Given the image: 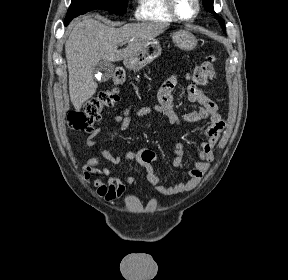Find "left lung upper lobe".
<instances>
[{
  "instance_id": "1",
  "label": "left lung upper lobe",
  "mask_w": 288,
  "mask_h": 280,
  "mask_svg": "<svg viewBox=\"0 0 288 280\" xmlns=\"http://www.w3.org/2000/svg\"><path fill=\"white\" fill-rule=\"evenodd\" d=\"M213 1L214 0H203V6L208 12L216 14L214 11V8H213ZM216 17H218V16L216 15ZM219 23H220L221 27L223 28V30H225V23H224V20L222 18H219Z\"/></svg>"
}]
</instances>
